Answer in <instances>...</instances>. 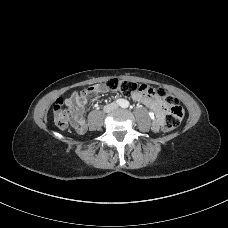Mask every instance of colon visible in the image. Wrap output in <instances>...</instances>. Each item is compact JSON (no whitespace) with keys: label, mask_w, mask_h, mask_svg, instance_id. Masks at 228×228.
<instances>
[{"label":"colon","mask_w":228,"mask_h":228,"mask_svg":"<svg viewBox=\"0 0 228 228\" xmlns=\"http://www.w3.org/2000/svg\"><path fill=\"white\" fill-rule=\"evenodd\" d=\"M95 85H101V87L105 89L117 90L123 93L142 92L158 97L169 112L162 126L163 131L166 133L174 131L179 126L183 117V110L178 105L177 99L161 88L154 89L145 84H137L133 81L119 79H112L105 84ZM53 117L57 127L65 129L73 119L74 113L73 110L65 104L64 100L59 98L53 105Z\"/></svg>","instance_id":"colon-1"}]
</instances>
